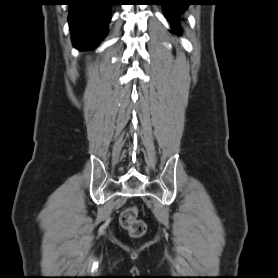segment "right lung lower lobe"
<instances>
[{
    "label": "right lung lower lobe",
    "mask_w": 278,
    "mask_h": 278,
    "mask_svg": "<svg viewBox=\"0 0 278 278\" xmlns=\"http://www.w3.org/2000/svg\"><path fill=\"white\" fill-rule=\"evenodd\" d=\"M68 21L73 44L79 50H92L102 40L111 19V0H69Z\"/></svg>",
    "instance_id": "right-lung-lower-lobe-1"
}]
</instances>
